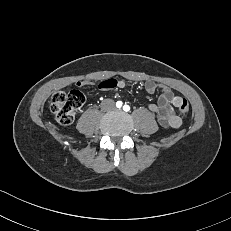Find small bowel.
Listing matches in <instances>:
<instances>
[{"label": "small bowel", "mask_w": 231, "mask_h": 231, "mask_svg": "<svg viewBox=\"0 0 231 231\" xmlns=\"http://www.w3.org/2000/svg\"><path fill=\"white\" fill-rule=\"evenodd\" d=\"M84 82H79L78 85H84ZM103 89H113L119 88L123 89L125 87V82L116 79H106L100 83ZM145 89L148 93L153 94L158 89H161V94L158 99V103L148 104V109L153 112L159 124L164 128H178L181 125V118L176 114L175 109L179 108L180 103L183 98L174 94V92L167 86L161 85L154 81H147L145 83Z\"/></svg>", "instance_id": "obj_1"}]
</instances>
